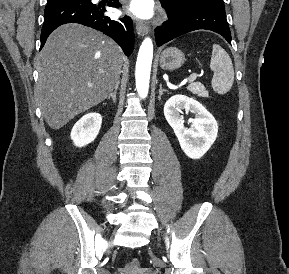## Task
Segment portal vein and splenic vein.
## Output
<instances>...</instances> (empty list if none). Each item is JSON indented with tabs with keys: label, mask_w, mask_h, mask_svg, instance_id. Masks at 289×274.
<instances>
[{
	"label": "portal vein and splenic vein",
	"mask_w": 289,
	"mask_h": 274,
	"mask_svg": "<svg viewBox=\"0 0 289 274\" xmlns=\"http://www.w3.org/2000/svg\"><path fill=\"white\" fill-rule=\"evenodd\" d=\"M201 76H202V74H193V75H190V76L188 77L187 81H188L189 83H192V82H194V81L196 80L197 77H201ZM187 81H183L181 84L184 85Z\"/></svg>",
	"instance_id": "1"
}]
</instances>
